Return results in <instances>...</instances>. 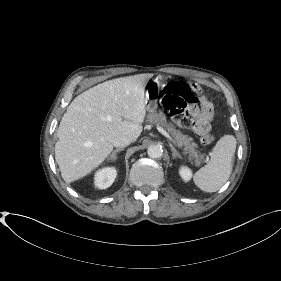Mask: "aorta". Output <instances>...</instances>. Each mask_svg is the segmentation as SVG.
Returning <instances> with one entry per match:
<instances>
[{
    "label": "aorta",
    "mask_w": 281,
    "mask_h": 281,
    "mask_svg": "<svg viewBox=\"0 0 281 281\" xmlns=\"http://www.w3.org/2000/svg\"><path fill=\"white\" fill-rule=\"evenodd\" d=\"M148 156L152 159L161 158L163 155V149L159 145H151L147 150Z\"/></svg>",
    "instance_id": "762f6f07"
}]
</instances>
